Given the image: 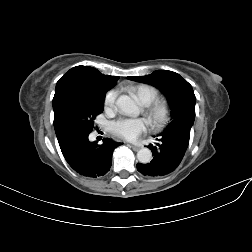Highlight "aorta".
<instances>
[{"instance_id":"obj_1","label":"aorta","mask_w":252,"mask_h":252,"mask_svg":"<svg viewBox=\"0 0 252 252\" xmlns=\"http://www.w3.org/2000/svg\"><path fill=\"white\" fill-rule=\"evenodd\" d=\"M116 105L118 109L127 116L137 115L139 112L138 106L135 101L127 95H121L117 101ZM137 159L140 163L146 164L152 160V152L148 148H141L137 152Z\"/></svg>"}]
</instances>
